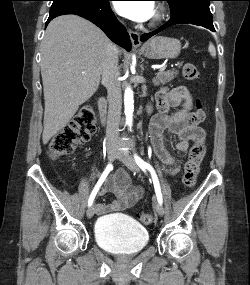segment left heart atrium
Listing matches in <instances>:
<instances>
[{"mask_svg": "<svg viewBox=\"0 0 250 285\" xmlns=\"http://www.w3.org/2000/svg\"><path fill=\"white\" fill-rule=\"evenodd\" d=\"M115 8L124 17L137 22L147 21L155 11L152 1H118Z\"/></svg>", "mask_w": 250, "mask_h": 285, "instance_id": "obj_1", "label": "left heart atrium"}]
</instances>
